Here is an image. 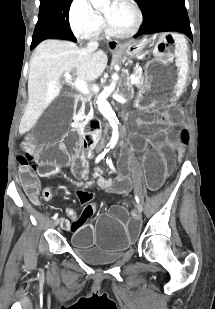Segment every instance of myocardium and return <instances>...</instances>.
<instances>
[{"mask_svg":"<svg viewBox=\"0 0 215 309\" xmlns=\"http://www.w3.org/2000/svg\"><path fill=\"white\" fill-rule=\"evenodd\" d=\"M120 8L131 14V22L125 27H112L113 21L106 19L105 23H102V30H107L108 34L112 35L113 38H132L133 33L140 24V13L134 6L129 4H122Z\"/></svg>","mask_w":215,"mask_h":309,"instance_id":"f54148a6","label":"myocardium"}]
</instances>
